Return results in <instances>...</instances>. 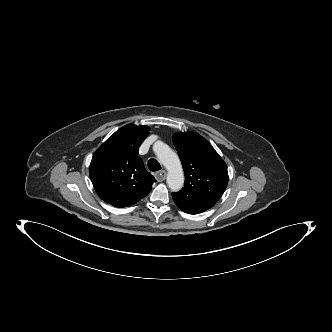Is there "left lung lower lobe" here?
<instances>
[{"label": "left lung lower lobe", "instance_id": "1", "mask_svg": "<svg viewBox=\"0 0 332 332\" xmlns=\"http://www.w3.org/2000/svg\"><path fill=\"white\" fill-rule=\"evenodd\" d=\"M182 211H184V212H186V213H188V214H198L197 212H193V211H190V210H187V209H185L184 207H182V206H179V205H177Z\"/></svg>", "mask_w": 332, "mask_h": 332}]
</instances>
